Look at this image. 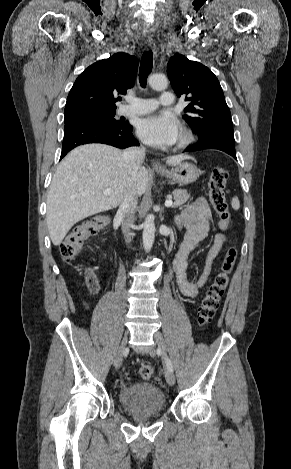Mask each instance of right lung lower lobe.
I'll return each instance as SVG.
<instances>
[{
  "instance_id": "1",
  "label": "right lung lower lobe",
  "mask_w": 291,
  "mask_h": 469,
  "mask_svg": "<svg viewBox=\"0 0 291 469\" xmlns=\"http://www.w3.org/2000/svg\"><path fill=\"white\" fill-rule=\"evenodd\" d=\"M87 143H103L121 149L139 145L128 122L76 119L65 123L61 158L73 148Z\"/></svg>"
}]
</instances>
